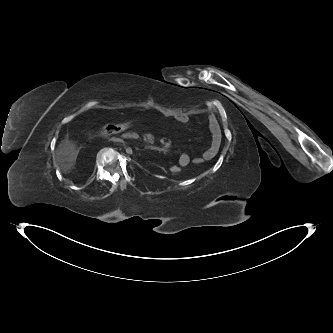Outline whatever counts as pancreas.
Segmentation results:
<instances>
[{
	"instance_id": "1",
	"label": "pancreas",
	"mask_w": 333,
	"mask_h": 333,
	"mask_svg": "<svg viewBox=\"0 0 333 333\" xmlns=\"http://www.w3.org/2000/svg\"><path fill=\"white\" fill-rule=\"evenodd\" d=\"M127 136L130 138H133L134 136H138V135L136 133H129ZM143 140H146L145 136H144Z\"/></svg>"
}]
</instances>
